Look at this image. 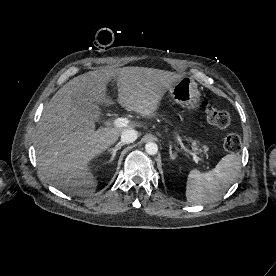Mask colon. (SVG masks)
<instances>
[{"label": "colon", "instance_id": "colon-1", "mask_svg": "<svg viewBox=\"0 0 276 276\" xmlns=\"http://www.w3.org/2000/svg\"><path fill=\"white\" fill-rule=\"evenodd\" d=\"M205 114L208 123L219 129H227L230 125L228 113L210 104H206ZM223 147L229 152H238L241 149L240 137L233 133L226 134L223 137Z\"/></svg>", "mask_w": 276, "mask_h": 276}]
</instances>
